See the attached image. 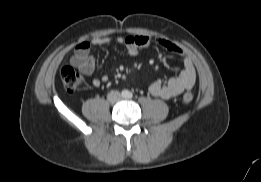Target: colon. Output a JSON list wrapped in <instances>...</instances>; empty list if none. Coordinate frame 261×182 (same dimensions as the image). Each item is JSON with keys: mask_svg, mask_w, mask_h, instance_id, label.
Returning <instances> with one entry per match:
<instances>
[{"mask_svg": "<svg viewBox=\"0 0 261 182\" xmlns=\"http://www.w3.org/2000/svg\"><path fill=\"white\" fill-rule=\"evenodd\" d=\"M61 79L65 89L68 92L77 91L82 85V77L76 72L72 67H64L61 70ZM193 99V95L190 92H186L183 95V101L186 103L191 102Z\"/></svg>", "mask_w": 261, "mask_h": 182, "instance_id": "1", "label": "colon"}]
</instances>
